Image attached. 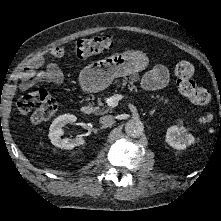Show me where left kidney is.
Instances as JSON below:
<instances>
[{
	"label": "left kidney",
	"mask_w": 221,
	"mask_h": 221,
	"mask_svg": "<svg viewBox=\"0 0 221 221\" xmlns=\"http://www.w3.org/2000/svg\"><path fill=\"white\" fill-rule=\"evenodd\" d=\"M166 142L175 149L183 150L194 142V137L183 126L174 125L166 132Z\"/></svg>",
	"instance_id": "obj_1"
}]
</instances>
